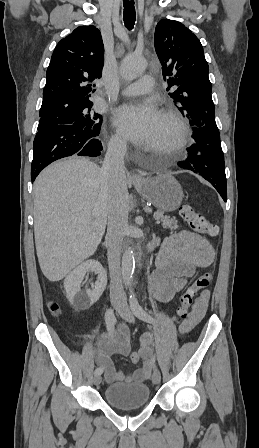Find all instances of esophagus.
I'll use <instances>...</instances> for the list:
<instances>
[{
  "label": "esophagus",
  "mask_w": 259,
  "mask_h": 448,
  "mask_svg": "<svg viewBox=\"0 0 259 448\" xmlns=\"http://www.w3.org/2000/svg\"><path fill=\"white\" fill-rule=\"evenodd\" d=\"M132 179L134 181H139L141 179V175L139 173H132Z\"/></svg>",
  "instance_id": "34e87169"
}]
</instances>
